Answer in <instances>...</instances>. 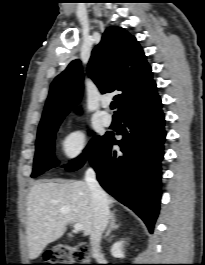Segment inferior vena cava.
I'll list each match as a JSON object with an SVG mask.
<instances>
[{
	"instance_id": "602c4592",
	"label": "inferior vena cava",
	"mask_w": 205,
	"mask_h": 265,
	"mask_svg": "<svg viewBox=\"0 0 205 265\" xmlns=\"http://www.w3.org/2000/svg\"><path fill=\"white\" fill-rule=\"evenodd\" d=\"M85 181L91 191L94 206L95 219L90 237V244L92 247V254L95 257L100 254L102 233L108 224L110 211L107 195L97 182L96 174L92 168L87 169L85 173Z\"/></svg>"
}]
</instances>
